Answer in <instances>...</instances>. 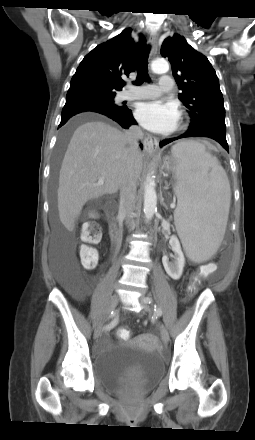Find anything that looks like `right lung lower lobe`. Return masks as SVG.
Returning a JSON list of instances; mask_svg holds the SVG:
<instances>
[{"label": "right lung lower lobe", "instance_id": "right-lung-lower-lobe-1", "mask_svg": "<svg viewBox=\"0 0 255 440\" xmlns=\"http://www.w3.org/2000/svg\"><path fill=\"white\" fill-rule=\"evenodd\" d=\"M83 112H96L106 115L126 129H128L131 125L137 124L131 115V110L126 106H117L107 101L95 98H82L78 100L66 101V104L62 110L59 127L63 126L72 116Z\"/></svg>", "mask_w": 255, "mask_h": 440}]
</instances>
